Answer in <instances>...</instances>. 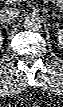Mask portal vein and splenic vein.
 Returning <instances> with one entry per match:
<instances>
[{
  "instance_id": "portal-vein-and-splenic-vein-1",
  "label": "portal vein and splenic vein",
  "mask_w": 63,
  "mask_h": 107,
  "mask_svg": "<svg viewBox=\"0 0 63 107\" xmlns=\"http://www.w3.org/2000/svg\"><path fill=\"white\" fill-rule=\"evenodd\" d=\"M45 3H46V4H49V1H48V0H45Z\"/></svg>"
}]
</instances>
